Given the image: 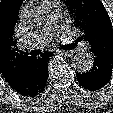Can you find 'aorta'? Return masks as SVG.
Wrapping results in <instances>:
<instances>
[{
    "label": "aorta",
    "mask_w": 113,
    "mask_h": 113,
    "mask_svg": "<svg viewBox=\"0 0 113 113\" xmlns=\"http://www.w3.org/2000/svg\"><path fill=\"white\" fill-rule=\"evenodd\" d=\"M26 12H23V17H26ZM94 60L88 53L76 54L72 59V66L79 73H85L92 69Z\"/></svg>",
    "instance_id": "aorta-1"
}]
</instances>
